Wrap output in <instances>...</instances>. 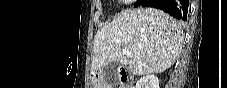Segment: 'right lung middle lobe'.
Wrapping results in <instances>:
<instances>
[{"mask_svg": "<svg viewBox=\"0 0 227 88\" xmlns=\"http://www.w3.org/2000/svg\"><path fill=\"white\" fill-rule=\"evenodd\" d=\"M140 2H141V0H137L135 3V6H137Z\"/></svg>", "mask_w": 227, "mask_h": 88, "instance_id": "1", "label": "right lung middle lobe"}]
</instances>
